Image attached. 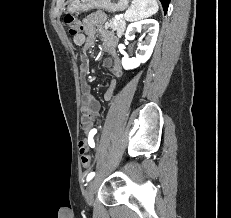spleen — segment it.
Wrapping results in <instances>:
<instances>
[{
	"label": "spleen",
	"instance_id": "1",
	"mask_svg": "<svg viewBox=\"0 0 231 218\" xmlns=\"http://www.w3.org/2000/svg\"><path fill=\"white\" fill-rule=\"evenodd\" d=\"M159 9L156 0H133L132 5L125 13L127 21H136L152 16Z\"/></svg>",
	"mask_w": 231,
	"mask_h": 218
}]
</instances>
